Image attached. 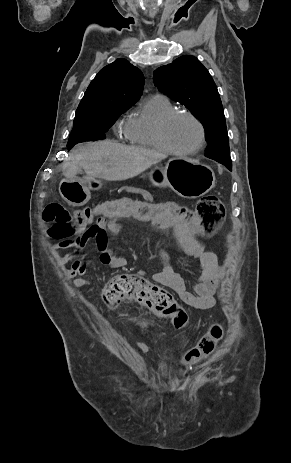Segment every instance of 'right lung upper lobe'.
<instances>
[{
    "label": "right lung upper lobe",
    "mask_w": 291,
    "mask_h": 463,
    "mask_svg": "<svg viewBox=\"0 0 291 463\" xmlns=\"http://www.w3.org/2000/svg\"><path fill=\"white\" fill-rule=\"evenodd\" d=\"M144 76L125 59L102 68L88 86L76 112L107 103L135 104L142 95Z\"/></svg>",
    "instance_id": "cb5924a9"
}]
</instances>
